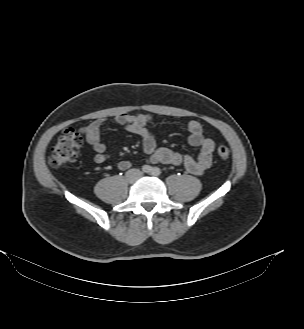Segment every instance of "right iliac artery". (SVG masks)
I'll list each match as a JSON object with an SVG mask.
<instances>
[{"mask_svg":"<svg viewBox=\"0 0 304 329\" xmlns=\"http://www.w3.org/2000/svg\"><path fill=\"white\" fill-rule=\"evenodd\" d=\"M142 171L145 172V173H151L152 172V167L149 166V165H144L142 167Z\"/></svg>","mask_w":304,"mask_h":329,"instance_id":"1","label":"right iliac artery"}]
</instances>
